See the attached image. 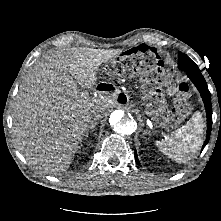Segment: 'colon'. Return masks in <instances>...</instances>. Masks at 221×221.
<instances>
[{
    "instance_id": "colon-1",
    "label": "colon",
    "mask_w": 221,
    "mask_h": 221,
    "mask_svg": "<svg viewBox=\"0 0 221 221\" xmlns=\"http://www.w3.org/2000/svg\"><path fill=\"white\" fill-rule=\"evenodd\" d=\"M152 51L145 47L141 46L136 49H133L129 52V54H125L120 60H118L114 65L108 68V74L115 75H123L128 72V64L130 63H139V65L143 66H152V62L154 60V55L151 53ZM187 93V87L185 84H181L178 86L177 94L179 95V99L176 102V110L179 113L186 112V104L184 102V97Z\"/></svg>"
}]
</instances>
